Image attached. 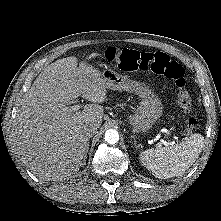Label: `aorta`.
<instances>
[{"mask_svg": "<svg viewBox=\"0 0 221 221\" xmlns=\"http://www.w3.org/2000/svg\"><path fill=\"white\" fill-rule=\"evenodd\" d=\"M104 139L109 144H115L119 141V134L116 130L109 129L105 132Z\"/></svg>", "mask_w": 221, "mask_h": 221, "instance_id": "762f6f07", "label": "aorta"}]
</instances>
